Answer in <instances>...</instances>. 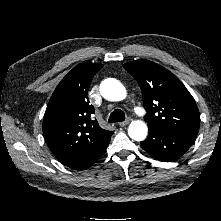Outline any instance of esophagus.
Returning <instances> with one entry per match:
<instances>
[{
  "instance_id": "1",
  "label": "esophagus",
  "mask_w": 221,
  "mask_h": 221,
  "mask_svg": "<svg viewBox=\"0 0 221 221\" xmlns=\"http://www.w3.org/2000/svg\"><path fill=\"white\" fill-rule=\"evenodd\" d=\"M129 122H130V119H127V120H125V121L119 122L118 125H119L120 127H124V126H126L127 124H129Z\"/></svg>"
}]
</instances>
